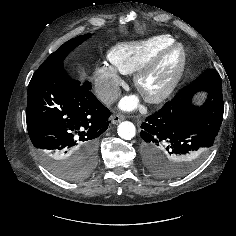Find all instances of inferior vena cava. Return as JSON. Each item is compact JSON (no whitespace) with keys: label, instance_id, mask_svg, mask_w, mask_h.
<instances>
[{"label":"inferior vena cava","instance_id":"1","mask_svg":"<svg viewBox=\"0 0 236 236\" xmlns=\"http://www.w3.org/2000/svg\"><path fill=\"white\" fill-rule=\"evenodd\" d=\"M120 94V89L118 87H114L102 93L99 98L105 104H112L120 97Z\"/></svg>","mask_w":236,"mask_h":236}]
</instances>
